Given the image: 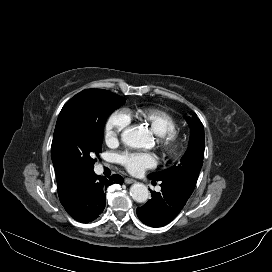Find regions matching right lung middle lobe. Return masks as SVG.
<instances>
[{
	"instance_id": "1",
	"label": "right lung middle lobe",
	"mask_w": 272,
	"mask_h": 272,
	"mask_svg": "<svg viewBox=\"0 0 272 272\" xmlns=\"http://www.w3.org/2000/svg\"><path fill=\"white\" fill-rule=\"evenodd\" d=\"M126 99L103 89H86L62 108L55 127L51 154L64 160L75 176L93 172L102 150L107 117Z\"/></svg>"
}]
</instances>
